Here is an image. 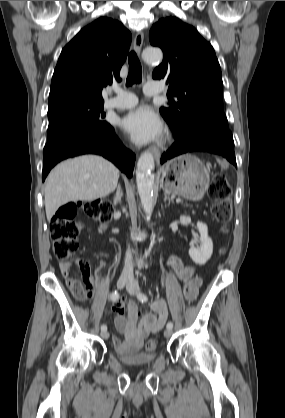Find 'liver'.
<instances>
[{
	"mask_svg": "<svg viewBox=\"0 0 285 418\" xmlns=\"http://www.w3.org/2000/svg\"><path fill=\"white\" fill-rule=\"evenodd\" d=\"M119 170L106 159L84 155L61 162L45 182V210L48 221L62 205L71 201H93L112 193Z\"/></svg>",
	"mask_w": 285,
	"mask_h": 418,
	"instance_id": "liver-1",
	"label": "liver"
}]
</instances>
